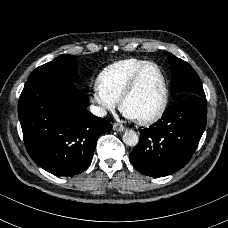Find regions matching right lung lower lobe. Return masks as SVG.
<instances>
[{
  "mask_svg": "<svg viewBox=\"0 0 228 228\" xmlns=\"http://www.w3.org/2000/svg\"><path fill=\"white\" fill-rule=\"evenodd\" d=\"M89 99L66 77L26 82L18 103L30 157L56 176H72L90 164L98 137L111 128L87 109Z\"/></svg>",
  "mask_w": 228,
  "mask_h": 228,
  "instance_id": "98d812e1",
  "label": "right lung lower lobe"
}]
</instances>
